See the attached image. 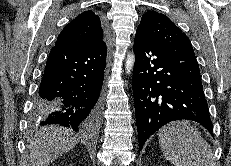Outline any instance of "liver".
<instances>
[{"label":"liver","instance_id":"liver-1","mask_svg":"<svg viewBox=\"0 0 231 166\" xmlns=\"http://www.w3.org/2000/svg\"><path fill=\"white\" fill-rule=\"evenodd\" d=\"M78 143L74 133L60 126L42 127L27 137L30 166H48Z\"/></svg>","mask_w":231,"mask_h":166}]
</instances>
